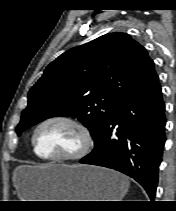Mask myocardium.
<instances>
[{"mask_svg":"<svg viewBox=\"0 0 176 211\" xmlns=\"http://www.w3.org/2000/svg\"><path fill=\"white\" fill-rule=\"evenodd\" d=\"M54 122H61L66 123L73 128H75L81 138L80 147L79 149L70 155H63V156H42L39 154L36 146V137L39 130L47 124L54 123ZM31 145L35 155L44 161H54V162H69V161H76L80 160L85 157L94 147V137L91 130L81 121L65 115H56L48 117L42 120L33 130L31 136Z\"/></svg>","mask_w":176,"mask_h":211,"instance_id":"obj_1","label":"myocardium"}]
</instances>
